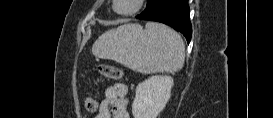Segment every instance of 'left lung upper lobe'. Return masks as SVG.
I'll return each mask as SVG.
<instances>
[{"label": "left lung upper lobe", "mask_w": 273, "mask_h": 118, "mask_svg": "<svg viewBox=\"0 0 273 118\" xmlns=\"http://www.w3.org/2000/svg\"><path fill=\"white\" fill-rule=\"evenodd\" d=\"M163 2V0H147L146 9L137 16V18H142L143 16L153 12L158 6Z\"/></svg>", "instance_id": "left-lung-upper-lobe-1"}]
</instances>
